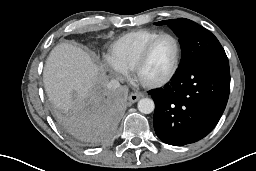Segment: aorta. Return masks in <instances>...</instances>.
Returning <instances> with one entry per match:
<instances>
[{
	"label": "aorta",
	"instance_id": "762f6f07",
	"mask_svg": "<svg viewBox=\"0 0 256 171\" xmlns=\"http://www.w3.org/2000/svg\"><path fill=\"white\" fill-rule=\"evenodd\" d=\"M138 110L143 114H150L154 111L155 104L150 98H142L137 104Z\"/></svg>",
	"mask_w": 256,
	"mask_h": 171
}]
</instances>
